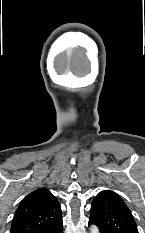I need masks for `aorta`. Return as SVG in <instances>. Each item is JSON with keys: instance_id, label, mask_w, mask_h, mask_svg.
Segmentation results:
<instances>
[{"instance_id": "1", "label": "aorta", "mask_w": 145, "mask_h": 233, "mask_svg": "<svg viewBox=\"0 0 145 233\" xmlns=\"http://www.w3.org/2000/svg\"><path fill=\"white\" fill-rule=\"evenodd\" d=\"M90 233H99V229L96 225H91Z\"/></svg>"}]
</instances>
